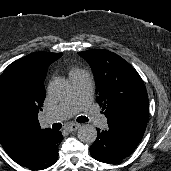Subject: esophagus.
Segmentation results:
<instances>
[{"instance_id": "34e87169", "label": "esophagus", "mask_w": 171, "mask_h": 171, "mask_svg": "<svg viewBox=\"0 0 171 171\" xmlns=\"http://www.w3.org/2000/svg\"><path fill=\"white\" fill-rule=\"evenodd\" d=\"M79 127H80L79 124H69L68 126L65 127V129H66L68 132H72V131L77 130Z\"/></svg>"}]
</instances>
